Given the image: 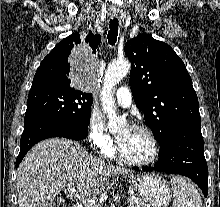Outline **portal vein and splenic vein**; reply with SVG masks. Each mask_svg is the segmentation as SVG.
<instances>
[{"instance_id": "portal-vein-and-splenic-vein-1", "label": "portal vein and splenic vein", "mask_w": 220, "mask_h": 207, "mask_svg": "<svg viewBox=\"0 0 220 207\" xmlns=\"http://www.w3.org/2000/svg\"><path fill=\"white\" fill-rule=\"evenodd\" d=\"M67 190L71 196H74L75 198L79 199L85 207H101L96 200L88 198L87 196H84L82 194H78L74 185L69 184L67 186ZM133 199L134 198L132 197L128 200L131 201Z\"/></svg>"}]
</instances>
